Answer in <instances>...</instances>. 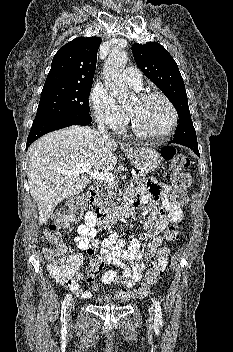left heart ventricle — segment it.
Listing matches in <instances>:
<instances>
[{
    "instance_id": "obj_1",
    "label": "left heart ventricle",
    "mask_w": 233,
    "mask_h": 352,
    "mask_svg": "<svg viewBox=\"0 0 233 352\" xmlns=\"http://www.w3.org/2000/svg\"><path fill=\"white\" fill-rule=\"evenodd\" d=\"M127 112L140 129L149 133L163 132L172 119L169 107L159 98L145 102L135 99L127 108Z\"/></svg>"
}]
</instances>
